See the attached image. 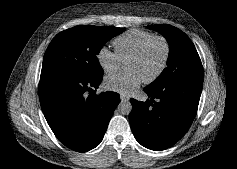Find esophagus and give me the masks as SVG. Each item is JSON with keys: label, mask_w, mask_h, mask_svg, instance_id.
<instances>
[{"label": "esophagus", "mask_w": 237, "mask_h": 169, "mask_svg": "<svg viewBox=\"0 0 237 169\" xmlns=\"http://www.w3.org/2000/svg\"><path fill=\"white\" fill-rule=\"evenodd\" d=\"M121 101L123 102H128L130 100V97L127 95H121L120 96Z\"/></svg>", "instance_id": "obj_1"}]
</instances>
